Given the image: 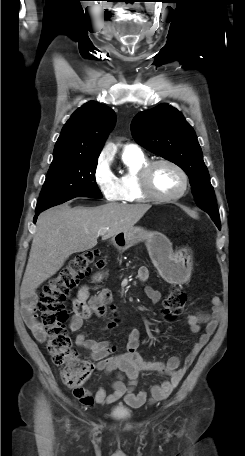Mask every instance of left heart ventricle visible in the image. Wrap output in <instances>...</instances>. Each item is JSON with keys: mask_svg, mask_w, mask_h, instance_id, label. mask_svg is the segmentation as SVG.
<instances>
[{"mask_svg": "<svg viewBox=\"0 0 245 456\" xmlns=\"http://www.w3.org/2000/svg\"><path fill=\"white\" fill-rule=\"evenodd\" d=\"M152 184L158 194L169 196L181 190L182 179L174 168L160 164L153 170Z\"/></svg>", "mask_w": 245, "mask_h": 456, "instance_id": "b2bd125f", "label": "left heart ventricle"}]
</instances>
